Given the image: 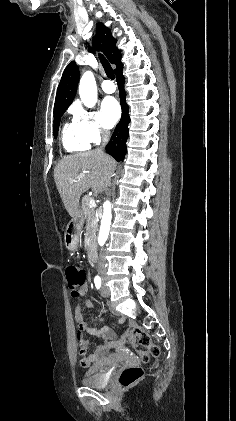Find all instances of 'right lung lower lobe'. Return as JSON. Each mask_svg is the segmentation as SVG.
Returning a JSON list of instances; mask_svg holds the SVG:
<instances>
[{"label":"right lung lower lobe","instance_id":"obj_1","mask_svg":"<svg viewBox=\"0 0 236 421\" xmlns=\"http://www.w3.org/2000/svg\"><path fill=\"white\" fill-rule=\"evenodd\" d=\"M122 67L115 73L116 81L120 92L122 118L116 126L111 140L106 146V152L113 156L116 161H123L126 154V141L129 136L128 124L130 117L128 115L129 106L126 103V92L124 91V76L122 75Z\"/></svg>","mask_w":236,"mask_h":421}]
</instances>
